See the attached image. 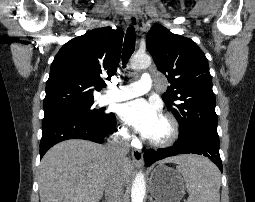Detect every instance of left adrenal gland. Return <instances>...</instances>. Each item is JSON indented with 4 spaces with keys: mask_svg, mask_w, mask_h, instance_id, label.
Segmentation results:
<instances>
[{
    "mask_svg": "<svg viewBox=\"0 0 255 202\" xmlns=\"http://www.w3.org/2000/svg\"><path fill=\"white\" fill-rule=\"evenodd\" d=\"M149 200H150V202H153L151 197L149 198Z\"/></svg>",
    "mask_w": 255,
    "mask_h": 202,
    "instance_id": "obj_1",
    "label": "left adrenal gland"
}]
</instances>
